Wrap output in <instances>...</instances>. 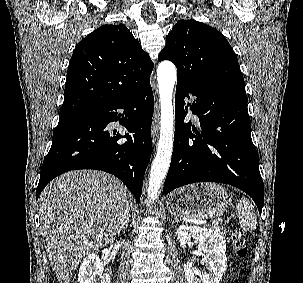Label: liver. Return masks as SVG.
<instances>
[{
    "label": "liver",
    "mask_w": 303,
    "mask_h": 283,
    "mask_svg": "<svg viewBox=\"0 0 303 283\" xmlns=\"http://www.w3.org/2000/svg\"><path fill=\"white\" fill-rule=\"evenodd\" d=\"M38 203L52 270L59 283H70L81 259L116 236L128 206L127 189L105 172L77 170L51 181Z\"/></svg>",
    "instance_id": "1"
}]
</instances>
